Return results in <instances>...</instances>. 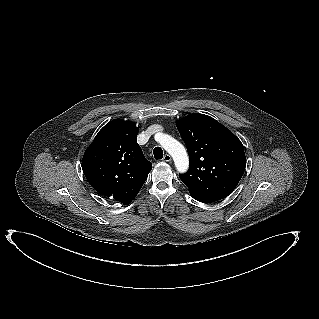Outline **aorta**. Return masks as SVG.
<instances>
[{
  "label": "aorta",
  "instance_id": "aorta-1",
  "mask_svg": "<svg viewBox=\"0 0 319 319\" xmlns=\"http://www.w3.org/2000/svg\"><path fill=\"white\" fill-rule=\"evenodd\" d=\"M159 143L173 158L179 173H185L189 168V158L185 147L168 134H160Z\"/></svg>",
  "mask_w": 319,
  "mask_h": 319
}]
</instances>
